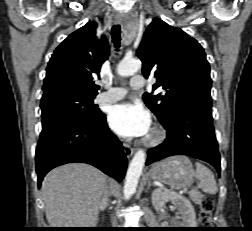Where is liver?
Here are the masks:
<instances>
[{"mask_svg": "<svg viewBox=\"0 0 252 231\" xmlns=\"http://www.w3.org/2000/svg\"><path fill=\"white\" fill-rule=\"evenodd\" d=\"M106 187V176L87 164H66L50 171L41 186L50 228L96 226Z\"/></svg>", "mask_w": 252, "mask_h": 231, "instance_id": "obj_1", "label": "liver"}]
</instances>
